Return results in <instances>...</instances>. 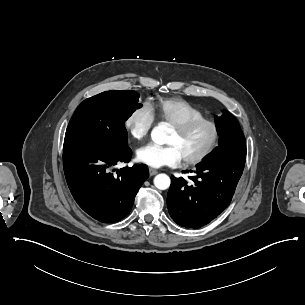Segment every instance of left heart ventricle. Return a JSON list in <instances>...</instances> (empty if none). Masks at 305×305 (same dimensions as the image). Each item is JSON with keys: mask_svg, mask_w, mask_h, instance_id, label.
I'll return each mask as SVG.
<instances>
[{"mask_svg": "<svg viewBox=\"0 0 305 305\" xmlns=\"http://www.w3.org/2000/svg\"><path fill=\"white\" fill-rule=\"evenodd\" d=\"M212 139V127L208 124H202L188 132H178L172 127L166 142L175 145L184 159L200 154L211 143Z\"/></svg>", "mask_w": 305, "mask_h": 305, "instance_id": "1", "label": "left heart ventricle"}]
</instances>
